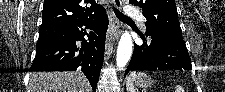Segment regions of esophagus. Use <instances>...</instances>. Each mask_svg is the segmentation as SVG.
<instances>
[{
	"instance_id": "1",
	"label": "esophagus",
	"mask_w": 225,
	"mask_h": 92,
	"mask_svg": "<svg viewBox=\"0 0 225 92\" xmlns=\"http://www.w3.org/2000/svg\"><path fill=\"white\" fill-rule=\"evenodd\" d=\"M112 3L116 7L121 6V0H112ZM118 21L113 13L109 16V27L106 34V48H110L113 43L118 39Z\"/></svg>"
}]
</instances>
